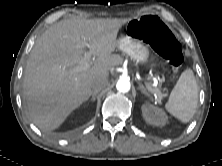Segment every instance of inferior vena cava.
Masks as SVG:
<instances>
[{
	"instance_id": "obj_1",
	"label": "inferior vena cava",
	"mask_w": 222,
	"mask_h": 166,
	"mask_svg": "<svg viewBox=\"0 0 222 166\" xmlns=\"http://www.w3.org/2000/svg\"><path fill=\"white\" fill-rule=\"evenodd\" d=\"M108 79L107 78H98L93 81L91 88L93 92H99L108 85Z\"/></svg>"
}]
</instances>
